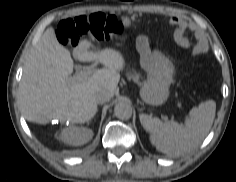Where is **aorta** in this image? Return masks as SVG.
<instances>
[{"label": "aorta", "instance_id": "1", "mask_svg": "<svg viewBox=\"0 0 236 182\" xmlns=\"http://www.w3.org/2000/svg\"><path fill=\"white\" fill-rule=\"evenodd\" d=\"M114 113L121 120H128L132 116V107L126 101L118 102L114 107Z\"/></svg>", "mask_w": 236, "mask_h": 182}]
</instances>
